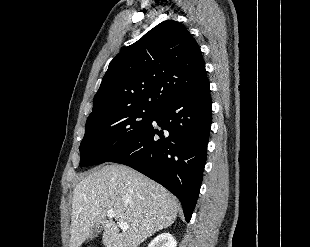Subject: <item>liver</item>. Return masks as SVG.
Listing matches in <instances>:
<instances>
[{
    "label": "liver",
    "instance_id": "liver-1",
    "mask_svg": "<svg viewBox=\"0 0 310 247\" xmlns=\"http://www.w3.org/2000/svg\"><path fill=\"white\" fill-rule=\"evenodd\" d=\"M73 192L70 247H80L95 227L103 230L105 247H137L171 226L179 208L164 187L120 164L93 170ZM108 210L115 212L114 220L107 219ZM120 221L128 225L122 232Z\"/></svg>",
    "mask_w": 310,
    "mask_h": 247
}]
</instances>
